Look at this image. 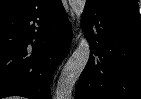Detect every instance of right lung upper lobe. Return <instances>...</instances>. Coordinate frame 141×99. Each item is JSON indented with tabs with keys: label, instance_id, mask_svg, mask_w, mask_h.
Listing matches in <instances>:
<instances>
[{
	"label": "right lung upper lobe",
	"instance_id": "obj_1",
	"mask_svg": "<svg viewBox=\"0 0 141 99\" xmlns=\"http://www.w3.org/2000/svg\"><path fill=\"white\" fill-rule=\"evenodd\" d=\"M49 0H0V18L30 9L37 8Z\"/></svg>",
	"mask_w": 141,
	"mask_h": 99
}]
</instances>
